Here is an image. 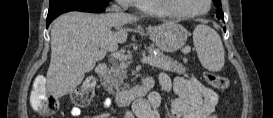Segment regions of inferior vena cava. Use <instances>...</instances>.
Segmentation results:
<instances>
[{
    "label": "inferior vena cava",
    "instance_id": "obj_1",
    "mask_svg": "<svg viewBox=\"0 0 273 118\" xmlns=\"http://www.w3.org/2000/svg\"><path fill=\"white\" fill-rule=\"evenodd\" d=\"M113 10L118 11V10H119L118 6L114 5V6H113Z\"/></svg>",
    "mask_w": 273,
    "mask_h": 118
}]
</instances>
